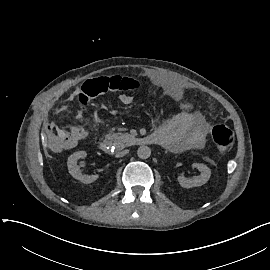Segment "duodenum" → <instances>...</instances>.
Wrapping results in <instances>:
<instances>
[{"instance_id": "410a0bca", "label": "duodenum", "mask_w": 270, "mask_h": 270, "mask_svg": "<svg viewBox=\"0 0 270 270\" xmlns=\"http://www.w3.org/2000/svg\"><path fill=\"white\" fill-rule=\"evenodd\" d=\"M135 143L141 146L142 145H160L161 140L159 136L155 132H153L151 134L136 138ZM99 147L103 152L111 153L113 149V144L111 143V141L105 139L100 142Z\"/></svg>"}]
</instances>
